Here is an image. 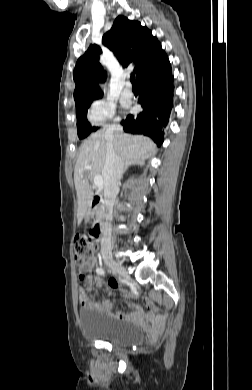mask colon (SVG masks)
<instances>
[{"instance_id": "obj_1", "label": "colon", "mask_w": 252, "mask_h": 390, "mask_svg": "<svg viewBox=\"0 0 252 390\" xmlns=\"http://www.w3.org/2000/svg\"><path fill=\"white\" fill-rule=\"evenodd\" d=\"M97 233L92 228L86 234L77 236L74 240V257L77 266L81 269L96 253ZM85 273H80V278H85Z\"/></svg>"}]
</instances>
